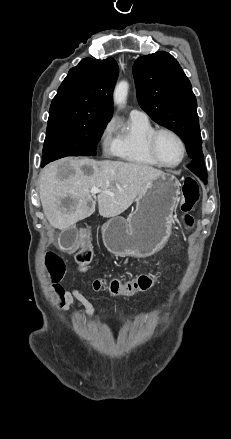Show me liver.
Masks as SVG:
<instances>
[{
    "instance_id": "liver-1",
    "label": "liver",
    "mask_w": 231,
    "mask_h": 439,
    "mask_svg": "<svg viewBox=\"0 0 231 439\" xmlns=\"http://www.w3.org/2000/svg\"><path fill=\"white\" fill-rule=\"evenodd\" d=\"M161 175L164 172L138 163L63 158L41 171L39 196L50 225L67 230L91 216L96 202L101 216L120 215L149 182ZM92 187L112 194L99 192L93 199Z\"/></svg>"
}]
</instances>
